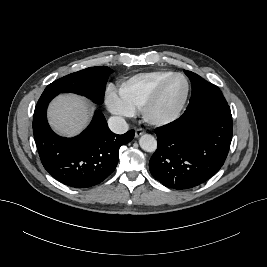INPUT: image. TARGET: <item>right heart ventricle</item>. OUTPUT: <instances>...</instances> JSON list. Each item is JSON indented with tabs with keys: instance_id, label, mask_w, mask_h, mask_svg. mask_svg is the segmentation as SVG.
<instances>
[{
	"instance_id": "right-heart-ventricle-1",
	"label": "right heart ventricle",
	"mask_w": 267,
	"mask_h": 267,
	"mask_svg": "<svg viewBox=\"0 0 267 267\" xmlns=\"http://www.w3.org/2000/svg\"><path fill=\"white\" fill-rule=\"evenodd\" d=\"M172 73L161 70L133 75L119 84L118 95L133 112L141 110L156 86Z\"/></svg>"
}]
</instances>
